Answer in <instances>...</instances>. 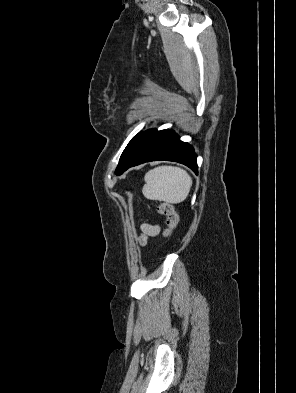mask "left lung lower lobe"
Returning a JSON list of instances; mask_svg holds the SVG:
<instances>
[{
	"label": "left lung lower lobe",
	"instance_id": "1",
	"mask_svg": "<svg viewBox=\"0 0 296 393\" xmlns=\"http://www.w3.org/2000/svg\"><path fill=\"white\" fill-rule=\"evenodd\" d=\"M196 154L194 149L172 130L151 129L140 136L135 147L130 153L121 175L128 168L156 160H168L185 164L197 174Z\"/></svg>",
	"mask_w": 296,
	"mask_h": 393
}]
</instances>
